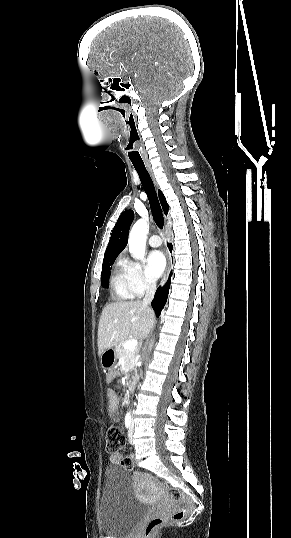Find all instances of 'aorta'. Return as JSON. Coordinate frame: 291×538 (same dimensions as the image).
<instances>
[{"label": "aorta", "instance_id": "obj_1", "mask_svg": "<svg viewBox=\"0 0 291 538\" xmlns=\"http://www.w3.org/2000/svg\"><path fill=\"white\" fill-rule=\"evenodd\" d=\"M148 232V224L146 220L139 219L132 227L129 234L128 245L133 257L142 259L145 254V242Z\"/></svg>", "mask_w": 291, "mask_h": 538}]
</instances>
